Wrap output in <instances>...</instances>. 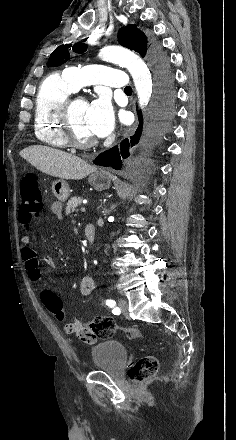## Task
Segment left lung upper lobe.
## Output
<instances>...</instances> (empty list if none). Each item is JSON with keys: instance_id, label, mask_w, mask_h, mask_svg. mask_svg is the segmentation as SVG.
<instances>
[{"instance_id": "1", "label": "left lung upper lobe", "mask_w": 236, "mask_h": 440, "mask_svg": "<svg viewBox=\"0 0 236 440\" xmlns=\"http://www.w3.org/2000/svg\"><path fill=\"white\" fill-rule=\"evenodd\" d=\"M118 39L120 45L139 53L142 57L148 55L153 57L155 61L166 63V58L162 55L159 45L151 41L148 44L145 34L136 28V25H127L118 32ZM72 47L76 53H82L87 49V45L84 43H76L73 46L71 44L61 45L50 55L47 62V66H60L70 58L69 48Z\"/></svg>"}]
</instances>
